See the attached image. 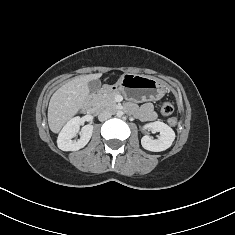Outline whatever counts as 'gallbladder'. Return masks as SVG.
<instances>
[{"label":"gallbladder","instance_id":"bac80fb5","mask_svg":"<svg viewBox=\"0 0 235 235\" xmlns=\"http://www.w3.org/2000/svg\"><path fill=\"white\" fill-rule=\"evenodd\" d=\"M88 87H89V90H90L91 93H95L100 89L101 82H100V80H91L88 83Z\"/></svg>","mask_w":235,"mask_h":235}]
</instances>
